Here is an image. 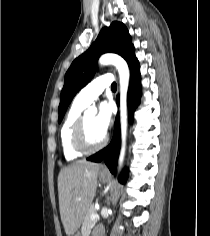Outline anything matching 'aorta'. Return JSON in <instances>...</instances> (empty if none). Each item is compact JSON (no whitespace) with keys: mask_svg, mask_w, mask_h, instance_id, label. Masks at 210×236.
<instances>
[{"mask_svg":"<svg viewBox=\"0 0 210 236\" xmlns=\"http://www.w3.org/2000/svg\"><path fill=\"white\" fill-rule=\"evenodd\" d=\"M100 65H114L120 78V120H121V139L122 146L119 156V168L122 167L125 151H126V137H127V91L129 85V68L126 61L119 55L113 53H107L99 58ZM89 113H95L96 108L89 107L87 110Z\"/></svg>","mask_w":210,"mask_h":236,"instance_id":"aorta-1","label":"aorta"}]
</instances>
